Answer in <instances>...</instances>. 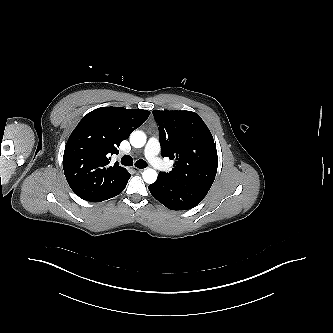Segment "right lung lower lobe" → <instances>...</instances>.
Instances as JSON below:
<instances>
[{"mask_svg":"<svg viewBox=\"0 0 333 333\" xmlns=\"http://www.w3.org/2000/svg\"><path fill=\"white\" fill-rule=\"evenodd\" d=\"M130 176H131V175L128 176V178H127V182H128V180H129ZM126 184H127V183H126ZM125 187H126V185H125L123 188H121V189H120L115 195L111 196L110 198H112V197H114V196L120 194V193L123 191V189H124ZM110 198H109V199H110Z\"/></svg>","mask_w":333,"mask_h":333,"instance_id":"98d812e1","label":"right lung lower lobe"}]
</instances>
